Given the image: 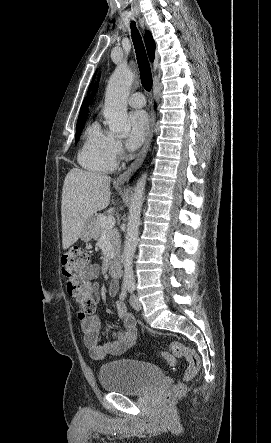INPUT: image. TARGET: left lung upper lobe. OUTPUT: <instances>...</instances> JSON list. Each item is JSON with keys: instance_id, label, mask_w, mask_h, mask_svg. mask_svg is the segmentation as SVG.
<instances>
[{"instance_id": "5c2ea615", "label": "left lung upper lobe", "mask_w": 271, "mask_h": 443, "mask_svg": "<svg viewBox=\"0 0 271 443\" xmlns=\"http://www.w3.org/2000/svg\"><path fill=\"white\" fill-rule=\"evenodd\" d=\"M97 89H98V83H96L93 88V94H95L97 92ZM90 101H92V96L90 97Z\"/></svg>"}]
</instances>
